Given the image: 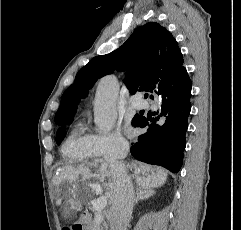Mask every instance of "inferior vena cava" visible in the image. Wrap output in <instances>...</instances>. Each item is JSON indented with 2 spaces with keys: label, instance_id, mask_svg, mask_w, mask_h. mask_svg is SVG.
<instances>
[{
  "label": "inferior vena cava",
  "instance_id": "602c4592",
  "mask_svg": "<svg viewBox=\"0 0 241 230\" xmlns=\"http://www.w3.org/2000/svg\"><path fill=\"white\" fill-rule=\"evenodd\" d=\"M128 150V144H123L117 151L104 157L109 165L114 186V196L108 216L110 230H127L134 207L133 185L122 161Z\"/></svg>",
  "mask_w": 241,
  "mask_h": 230
}]
</instances>
